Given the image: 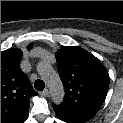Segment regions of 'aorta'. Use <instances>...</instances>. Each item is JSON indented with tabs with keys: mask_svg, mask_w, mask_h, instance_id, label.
<instances>
[{
	"mask_svg": "<svg viewBox=\"0 0 123 123\" xmlns=\"http://www.w3.org/2000/svg\"><path fill=\"white\" fill-rule=\"evenodd\" d=\"M37 71L45 79L50 89L52 100L57 104L61 103L64 97V88L59 75L46 62H40L37 66Z\"/></svg>",
	"mask_w": 123,
	"mask_h": 123,
	"instance_id": "1",
	"label": "aorta"
}]
</instances>
